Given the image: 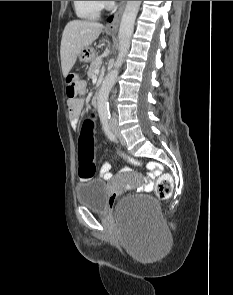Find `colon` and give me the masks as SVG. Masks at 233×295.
I'll return each instance as SVG.
<instances>
[{
  "label": "colon",
  "mask_w": 233,
  "mask_h": 295,
  "mask_svg": "<svg viewBox=\"0 0 233 295\" xmlns=\"http://www.w3.org/2000/svg\"><path fill=\"white\" fill-rule=\"evenodd\" d=\"M85 93V82L77 74H68L66 77V94L69 99L81 98ZM92 122L86 121L83 134L79 142V169L78 173L82 179H89L96 172L94 161V142L91 134ZM129 162L138 164V161L127 158ZM173 189L172 177L163 174L156 182L155 192L158 198L165 200L170 198Z\"/></svg>",
  "instance_id": "5ec220e1"
}]
</instances>
